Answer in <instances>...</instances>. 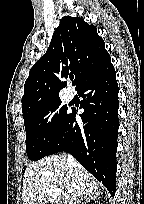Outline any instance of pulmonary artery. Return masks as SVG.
<instances>
[{
    "mask_svg": "<svg viewBox=\"0 0 144 204\" xmlns=\"http://www.w3.org/2000/svg\"><path fill=\"white\" fill-rule=\"evenodd\" d=\"M67 100H71L73 98V92L68 90L65 94Z\"/></svg>",
    "mask_w": 144,
    "mask_h": 204,
    "instance_id": "1",
    "label": "pulmonary artery"
}]
</instances>
